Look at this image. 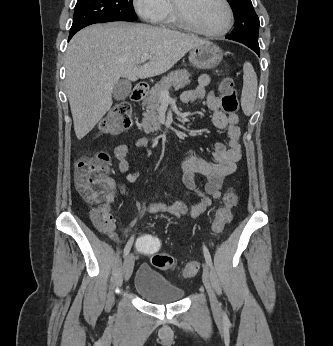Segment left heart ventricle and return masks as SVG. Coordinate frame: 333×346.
I'll return each instance as SVG.
<instances>
[{
  "label": "left heart ventricle",
  "instance_id": "obj_1",
  "mask_svg": "<svg viewBox=\"0 0 333 346\" xmlns=\"http://www.w3.org/2000/svg\"><path fill=\"white\" fill-rule=\"evenodd\" d=\"M182 1L189 17L202 30L215 32L227 22V12L221 0H177Z\"/></svg>",
  "mask_w": 333,
  "mask_h": 346
}]
</instances>
